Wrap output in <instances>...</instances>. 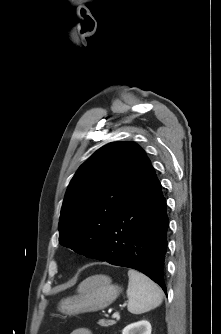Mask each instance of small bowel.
Here are the masks:
<instances>
[{
    "label": "small bowel",
    "instance_id": "small-bowel-1",
    "mask_svg": "<svg viewBox=\"0 0 221 334\" xmlns=\"http://www.w3.org/2000/svg\"><path fill=\"white\" fill-rule=\"evenodd\" d=\"M70 334H92L87 328H77L74 329Z\"/></svg>",
    "mask_w": 221,
    "mask_h": 334
}]
</instances>
